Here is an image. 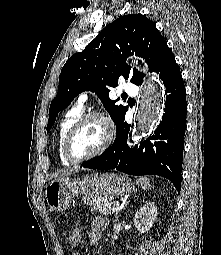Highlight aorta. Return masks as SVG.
Returning <instances> with one entry per match:
<instances>
[{"label":"aorta","mask_w":221,"mask_h":255,"mask_svg":"<svg viewBox=\"0 0 221 255\" xmlns=\"http://www.w3.org/2000/svg\"><path fill=\"white\" fill-rule=\"evenodd\" d=\"M137 104L131 137L135 143L150 134L161 120L164 91L158 84L156 77L150 75L146 77Z\"/></svg>","instance_id":"762f6f07"}]
</instances>
